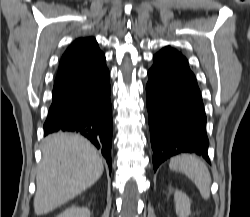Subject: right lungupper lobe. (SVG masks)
Here are the masks:
<instances>
[{
  "mask_svg": "<svg viewBox=\"0 0 250 217\" xmlns=\"http://www.w3.org/2000/svg\"><path fill=\"white\" fill-rule=\"evenodd\" d=\"M102 55L94 38L77 39L63 54L55 82L81 72Z\"/></svg>",
  "mask_w": 250,
  "mask_h": 217,
  "instance_id": "obj_1",
  "label": "right lung upper lobe"
}]
</instances>
